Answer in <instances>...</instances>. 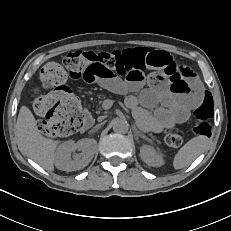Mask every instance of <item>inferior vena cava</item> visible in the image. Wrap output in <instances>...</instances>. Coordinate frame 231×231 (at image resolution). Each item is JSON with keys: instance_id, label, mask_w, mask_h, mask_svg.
<instances>
[{"instance_id": "inferior-vena-cava-1", "label": "inferior vena cava", "mask_w": 231, "mask_h": 231, "mask_svg": "<svg viewBox=\"0 0 231 231\" xmlns=\"http://www.w3.org/2000/svg\"><path fill=\"white\" fill-rule=\"evenodd\" d=\"M101 125H102V124H98V125H96L94 128H100Z\"/></svg>"}]
</instances>
